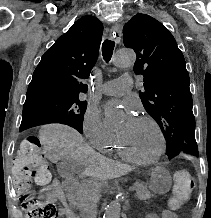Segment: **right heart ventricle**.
Masks as SVG:
<instances>
[{"instance_id":"1","label":"right heart ventricle","mask_w":211,"mask_h":218,"mask_svg":"<svg viewBox=\"0 0 211 218\" xmlns=\"http://www.w3.org/2000/svg\"><path fill=\"white\" fill-rule=\"evenodd\" d=\"M102 153L108 154V155H116L119 156L121 158L127 159L120 151L116 139L112 140L110 143H108L107 145L101 147L99 149ZM129 160V159H127ZM131 161V160H129Z\"/></svg>"}]
</instances>
